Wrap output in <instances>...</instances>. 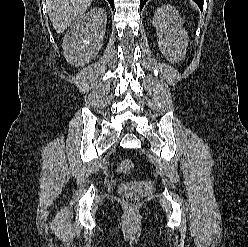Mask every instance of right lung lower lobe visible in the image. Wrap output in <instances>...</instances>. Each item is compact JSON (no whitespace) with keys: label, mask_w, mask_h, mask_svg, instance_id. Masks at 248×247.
Here are the masks:
<instances>
[{"label":"right lung lower lobe","mask_w":248,"mask_h":247,"mask_svg":"<svg viewBox=\"0 0 248 247\" xmlns=\"http://www.w3.org/2000/svg\"><path fill=\"white\" fill-rule=\"evenodd\" d=\"M108 2L110 3L112 9H114V0H108Z\"/></svg>","instance_id":"98d812e1"}]
</instances>
